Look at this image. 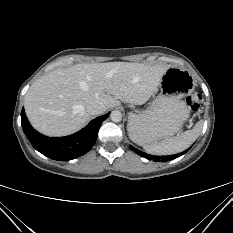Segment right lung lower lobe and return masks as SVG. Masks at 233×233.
<instances>
[{"instance_id": "1", "label": "right lung lower lobe", "mask_w": 233, "mask_h": 233, "mask_svg": "<svg viewBox=\"0 0 233 233\" xmlns=\"http://www.w3.org/2000/svg\"><path fill=\"white\" fill-rule=\"evenodd\" d=\"M109 113L92 120L79 132L65 137H47L37 132L29 123L24 109L21 124L32 146L43 155L59 161L75 159L87 153L94 145L98 130Z\"/></svg>"}]
</instances>
